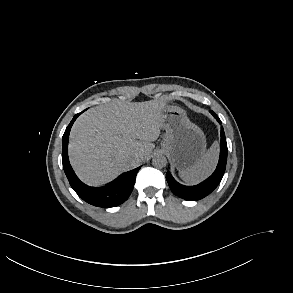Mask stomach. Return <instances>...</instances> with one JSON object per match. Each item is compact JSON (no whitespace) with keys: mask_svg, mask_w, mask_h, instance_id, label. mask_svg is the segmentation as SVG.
I'll return each instance as SVG.
<instances>
[{"mask_svg":"<svg viewBox=\"0 0 293 293\" xmlns=\"http://www.w3.org/2000/svg\"><path fill=\"white\" fill-rule=\"evenodd\" d=\"M160 125L166 131L161 146L171 155L178 170L193 166L205 154V135L188 119L182 108L166 107L161 114Z\"/></svg>","mask_w":293,"mask_h":293,"instance_id":"stomach-1","label":"stomach"}]
</instances>
